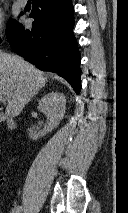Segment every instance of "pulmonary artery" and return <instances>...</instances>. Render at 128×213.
<instances>
[{"label": "pulmonary artery", "mask_w": 128, "mask_h": 213, "mask_svg": "<svg viewBox=\"0 0 128 213\" xmlns=\"http://www.w3.org/2000/svg\"><path fill=\"white\" fill-rule=\"evenodd\" d=\"M17 4L20 7H25L27 4V0H17Z\"/></svg>", "instance_id": "e3ab8cb5"}]
</instances>
